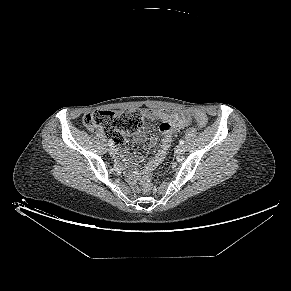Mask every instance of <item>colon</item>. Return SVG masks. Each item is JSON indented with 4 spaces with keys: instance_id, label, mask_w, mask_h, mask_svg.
<instances>
[{
    "instance_id": "5ec220e1",
    "label": "colon",
    "mask_w": 291,
    "mask_h": 291,
    "mask_svg": "<svg viewBox=\"0 0 291 291\" xmlns=\"http://www.w3.org/2000/svg\"><path fill=\"white\" fill-rule=\"evenodd\" d=\"M193 115L199 127H205L207 117L204 113L194 111ZM146 118L145 111L131 109L124 112L96 110L86 113L83 117L84 125L95 132L102 131L116 144L123 143L125 136L138 130ZM154 169L147 167L141 177V186L144 192L152 190L151 173Z\"/></svg>"
}]
</instances>
